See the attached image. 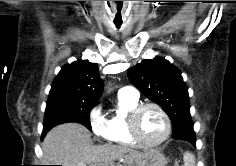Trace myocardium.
Wrapping results in <instances>:
<instances>
[{"instance_id":"f54148a6","label":"myocardium","mask_w":236,"mask_h":166,"mask_svg":"<svg viewBox=\"0 0 236 166\" xmlns=\"http://www.w3.org/2000/svg\"><path fill=\"white\" fill-rule=\"evenodd\" d=\"M148 108H153L157 110L161 114L165 122L164 135L160 140L152 143L146 142L141 138L138 128L139 118L141 114ZM127 126L131 138L139 146H142L144 148H155L162 145L168 139L171 133V120L169 118V115L159 104L153 102L139 104L136 108H134L127 116Z\"/></svg>"}]
</instances>
